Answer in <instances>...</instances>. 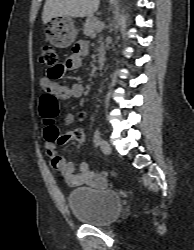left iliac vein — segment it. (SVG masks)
<instances>
[{"instance_id": "obj_1", "label": "left iliac vein", "mask_w": 194, "mask_h": 250, "mask_svg": "<svg viewBox=\"0 0 194 250\" xmlns=\"http://www.w3.org/2000/svg\"><path fill=\"white\" fill-rule=\"evenodd\" d=\"M100 148H101V151L104 154H110L111 151H112V148H111L110 144L105 139L101 140V142H100Z\"/></svg>"}]
</instances>
